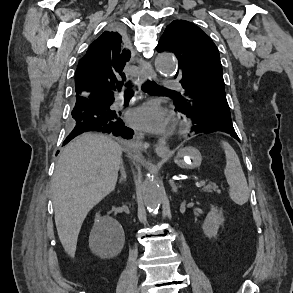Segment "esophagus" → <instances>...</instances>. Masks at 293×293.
<instances>
[{
  "instance_id": "obj_1",
  "label": "esophagus",
  "mask_w": 293,
  "mask_h": 293,
  "mask_svg": "<svg viewBox=\"0 0 293 293\" xmlns=\"http://www.w3.org/2000/svg\"><path fill=\"white\" fill-rule=\"evenodd\" d=\"M139 67L141 70V80L145 81L146 79H150V80H155L156 79V73L152 67V65L150 64V62L144 60V59H140L139 61ZM143 134L142 133H137L136 134V139L137 140H142L143 139ZM156 153L159 156H167L169 155L170 151H169V147L166 144V141L163 139H159L157 144H156Z\"/></svg>"
}]
</instances>
